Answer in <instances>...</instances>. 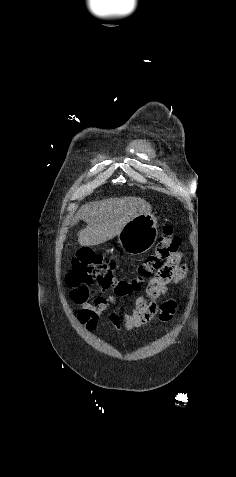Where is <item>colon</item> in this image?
I'll use <instances>...</instances> for the list:
<instances>
[{
  "label": "colon",
  "instance_id": "colon-1",
  "mask_svg": "<svg viewBox=\"0 0 236 477\" xmlns=\"http://www.w3.org/2000/svg\"><path fill=\"white\" fill-rule=\"evenodd\" d=\"M179 238L167 225L164 235L153 252L138 266L137 275L130 280L118 279L116 264L90 248L80 249L73 260L66 282L75 302H85L95 288L113 289L117 298H125L140 292L148 279L152 287L166 293L172 281L180 275ZM149 284L147 285L148 288Z\"/></svg>",
  "mask_w": 236,
  "mask_h": 477
}]
</instances>
